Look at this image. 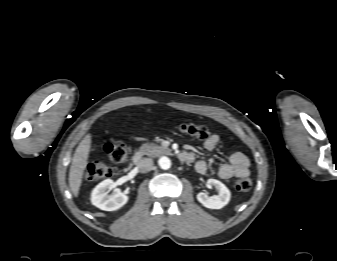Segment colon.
Wrapping results in <instances>:
<instances>
[{
  "instance_id": "obj_1",
  "label": "colon",
  "mask_w": 337,
  "mask_h": 261,
  "mask_svg": "<svg viewBox=\"0 0 337 261\" xmlns=\"http://www.w3.org/2000/svg\"><path fill=\"white\" fill-rule=\"evenodd\" d=\"M179 130L186 135L199 140H206L210 137V131L203 125L193 123H182ZM104 152L108 160L114 164L123 163L127 158V148L122 143H107L104 146ZM116 170L102 162H90L85 170V178L90 181H97L109 178L115 174ZM236 190L246 192L250 190L252 183L249 178L243 177L235 181Z\"/></svg>"
}]
</instances>
